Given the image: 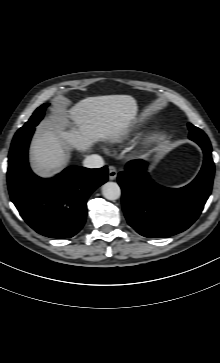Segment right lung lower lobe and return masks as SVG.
Instances as JSON below:
<instances>
[{"label": "right lung lower lobe", "instance_id": "1", "mask_svg": "<svg viewBox=\"0 0 220 363\" xmlns=\"http://www.w3.org/2000/svg\"><path fill=\"white\" fill-rule=\"evenodd\" d=\"M33 132L34 127L11 144L7 171L11 200L39 234L70 238L84 225L87 199L107 181L108 169L71 166L54 178H39L31 171L27 158Z\"/></svg>", "mask_w": 220, "mask_h": 363}]
</instances>
